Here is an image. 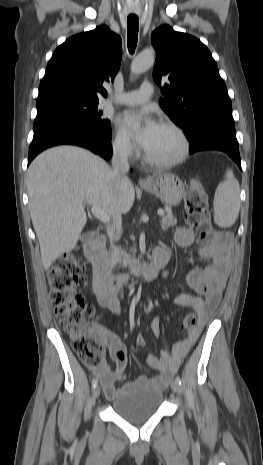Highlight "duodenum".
Here are the masks:
<instances>
[{"label":"duodenum","mask_w":263,"mask_h":465,"mask_svg":"<svg viewBox=\"0 0 263 465\" xmlns=\"http://www.w3.org/2000/svg\"><path fill=\"white\" fill-rule=\"evenodd\" d=\"M84 253L93 267L95 289L103 295H115L127 283L144 284L153 281L169 260V253L162 252L154 256L150 264L139 272L131 275H112L107 259L105 236L101 235L87 242Z\"/></svg>","instance_id":"410a0bca"}]
</instances>
